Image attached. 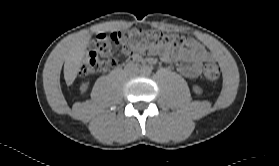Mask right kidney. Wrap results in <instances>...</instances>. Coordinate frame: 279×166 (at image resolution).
<instances>
[{
    "label": "right kidney",
    "instance_id": "1",
    "mask_svg": "<svg viewBox=\"0 0 279 166\" xmlns=\"http://www.w3.org/2000/svg\"><path fill=\"white\" fill-rule=\"evenodd\" d=\"M88 87V83H83L81 86V90L84 92Z\"/></svg>",
    "mask_w": 279,
    "mask_h": 166
}]
</instances>
